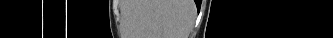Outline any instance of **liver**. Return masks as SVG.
<instances>
[{
    "mask_svg": "<svg viewBox=\"0 0 333 38\" xmlns=\"http://www.w3.org/2000/svg\"><path fill=\"white\" fill-rule=\"evenodd\" d=\"M194 20L193 0H137V38H188Z\"/></svg>",
    "mask_w": 333,
    "mask_h": 38,
    "instance_id": "6515ba94",
    "label": "liver"
}]
</instances>
